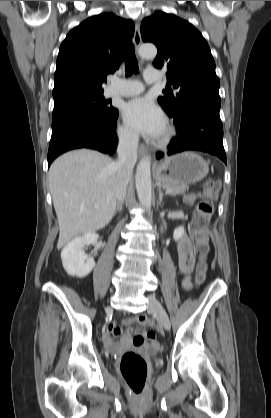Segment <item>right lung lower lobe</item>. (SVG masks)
I'll use <instances>...</instances> for the list:
<instances>
[{"instance_id": "obj_1", "label": "right lung lower lobe", "mask_w": 271, "mask_h": 418, "mask_svg": "<svg viewBox=\"0 0 271 418\" xmlns=\"http://www.w3.org/2000/svg\"><path fill=\"white\" fill-rule=\"evenodd\" d=\"M115 115L96 114L68 118L52 124L48 167L60 154L78 148H91L112 154L117 145Z\"/></svg>"}]
</instances>
